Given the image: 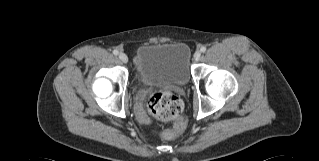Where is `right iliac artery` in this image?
Listing matches in <instances>:
<instances>
[{"mask_svg":"<svg viewBox=\"0 0 319 161\" xmlns=\"http://www.w3.org/2000/svg\"><path fill=\"white\" fill-rule=\"evenodd\" d=\"M118 53H119V52H118L117 50H113V54H114V55H118Z\"/></svg>","mask_w":319,"mask_h":161,"instance_id":"1","label":"right iliac artery"}]
</instances>
